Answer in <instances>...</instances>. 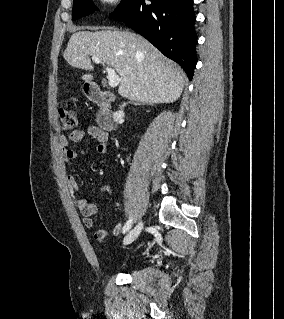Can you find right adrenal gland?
Returning <instances> with one entry per match:
<instances>
[{
    "instance_id": "right-adrenal-gland-1",
    "label": "right adrenal gland",
    "mask_w": 284,
    "mask_h": 319,
    "mask_svg": "<svg viewBox=\"0 0 284 319\" xmlns=\"http://www.w3.org/2000/svg\"><path fill=\"white\" fill-rule=\"evenodd\" d=\"M128 103H134L135 105H138L141 102L135 100V101H131V102H128ZM128 103H124L123 106H126Z\"/></svg>"
}]
</instances>
